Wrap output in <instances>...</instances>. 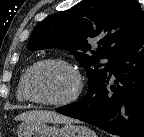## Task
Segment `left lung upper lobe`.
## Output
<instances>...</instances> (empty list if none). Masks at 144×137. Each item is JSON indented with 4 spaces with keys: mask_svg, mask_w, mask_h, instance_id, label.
I'll return each mask as SVG.
<instances>
[{
    "mask_svg": "<svg viewBox=\"0 0 144 137\" xmlns=\"http://www.w3.org/2000/svg\"><path fill=\"white\" fill-rule=\"evenodd\" d=\"M143 25L144 12L136 0H84L40 22L30 36L28 49L68 50L85 68L90 91L103 80L110 63L137 38ZM94 39L99 40L96 51L90 45ZM100 59H109L104 68Z\"/></svg>",
    "mask_w": 144,
    "mask_h": 137,
    "instance_id": "1",
    "label": "left lung upper lobe"
}]
</instances>
